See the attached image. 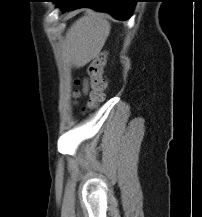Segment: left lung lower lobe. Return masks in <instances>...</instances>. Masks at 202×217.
I'll return each mask as SVG.
<instances>
[{
	"label": "left lung lower lobe",
	"instance_id": "left-lung-lower-lobe-1",
	"mask_svg": "<svg viewBox=\"0 0 202 217\" xmlns=\"http://www.w3.org/2000/svg\"><path fill=\"white\" fill-rule=\"evenodd\" d=\"M56 7L67 11L70 9L90 7L107 12L119 20H127L131 16L137 0H54Z\"/></svg>",
	"mask_w": 202,
	"mask_h": 217
}]
</instances>
